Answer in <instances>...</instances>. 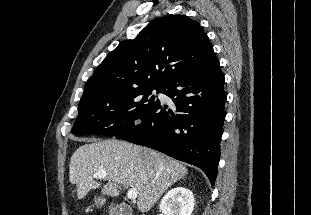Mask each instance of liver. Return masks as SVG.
I'll return each mask as SVG.
<instances>
[{
    "label": "liver",
    "instance_id": "1",
    "mask_svg": "<svg viewBox=\"0 0 311 215\" xmlns=\"http://www.w3.org/2000/svg\"><path fill=\"white\" fill-rule=\"evenodd\" d=\"M88 142L73 153L69 165V180L76 185L78 199L101 187L94 173L104 170L108 182L101 193L117 197L121 186L136 189L138 210L145 213L188 172L183 164L149 148L117 139Z\"/></svg>",
    "mask_w": 311,
    "mask_h": 215
}]
</instances>
